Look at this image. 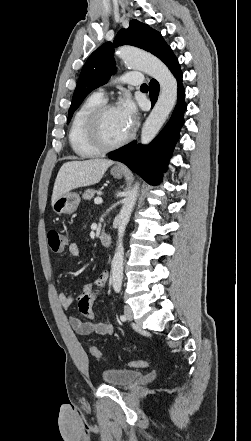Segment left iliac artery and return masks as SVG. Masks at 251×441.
Returning a JSON list of instances; mask_svg holds the SVG:
<instances>
[{
    "label": "left iliac artery",
    "instance_id": "44dca946",
    "mask_svg": "<svg viewBox=\"0 0 251 441\" xmlns=\"http://www.w3.org/2000/svg\"><path fill=\"white\" fill-rule=\"evenodd\" d=\"M119 291H120L119 289H118V290H116V292H119ZM126 319H127V318H126V316H125V315H121V316H120V320H121V321H123V322H124V321H126Z\"/></svg>",
    "mask_w": 251,
    "mask_h": 441
}]
</instances>
